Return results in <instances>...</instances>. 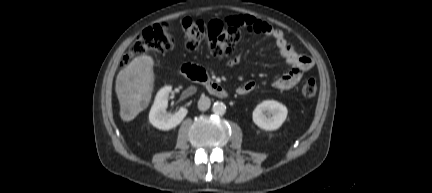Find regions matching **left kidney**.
<instances>
[{
	"label": "left kidney",
	"mask_w": 432,
	"mask_h": 193,
	"mask_svg": "<svg viewBox=\"0 0 432 193\" xmlns=\"http://www.w3.org/2000/svg\"><path fill=\"white\" fill-rule=\"evenodd\" d=\"M288 110L285 105L275 100H265L253 111V122L261 129L273 131L280 128L286 120Z\"/></svg>",
	"instance_id": "1"
}]
</instances>
